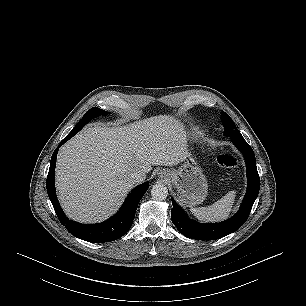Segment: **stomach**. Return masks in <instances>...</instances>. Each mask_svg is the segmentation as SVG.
Returning <instances> with one entry per match:
<instances>
[{"label": "stomach", "mask_w": 306, "mask_h": 306, "mask_svg": "<svg viewBox=\"0 0 306 306\" xmlns=\"http://www.w3.org/2000/svg\"><path fill=\"white\" fill-rule=\"evenodd\" d=\"M167 173L170 176L169 181L178 191L179 200L184 205L192 207L205 200L208 191L207 180L190 154L177 170H167Z\"/></svg>", "instance_id": "obj_1"}]
</instances>
